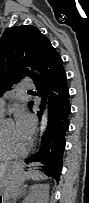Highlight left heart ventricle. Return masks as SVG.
<instances>
[{
  "label": "left heart ventricle",
  "mask_w": 89,
  "mask_h": 203,
  "mask_svg": "<svg viewBox=\"0 0 89 203\" xmlns=\"http://www.w3.org/2000/svg\"><path fill=\"white\" fill-rule=\"evenodd\" d=\"M3 135L6 148L12 153L20 151L27 144V140L18 134L13 122L6 123L3 126Z\"/></svg>",
  "instance_id": "1"
}]
</instances>
